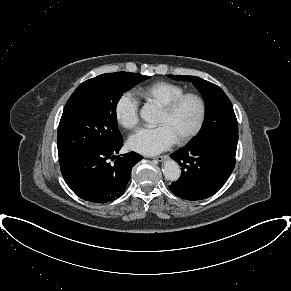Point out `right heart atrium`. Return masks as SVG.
Returning a JSON list of instances; mask_svg holds the SVG:
<instances>
[{"mask_svg": "<svg viewBox=\"0 0 291 291\" xmlns=\"http://www.w3.org/2000/svg\"><path fill=\"white\" fill-rule=\"evenodd\" d=\"M115 117L118 124L127 130L139 125V101L132 92H124L115 104Z\"/></svg>", "mask_w": 291, "mask_h": 291, "instance_id": "d8ad5b80", "label": "right heart atrium"}]
</instances>
